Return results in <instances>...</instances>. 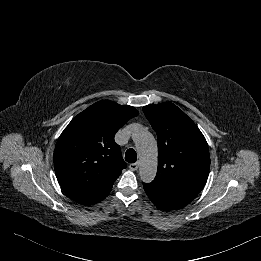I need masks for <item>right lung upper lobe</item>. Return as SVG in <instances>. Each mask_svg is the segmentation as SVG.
Here are the masks:
<instances>
[{"instance_id":"1","label":"right lung upper lobe","mask_w":261,"mask_h":261,"mask_svg":"<svg viewBox=\"0 0 261 261\" xmlns=\"http://www.w3.org/2000/svg\"><path fill=\"white\" fill-rule=\"evenodd\" d=\"M139 112L109 100L94 103L75 116L60 135L55 173L63 191L89 206L102 201L126 168L115 133Z\"/></svg>"}]
</instances>
